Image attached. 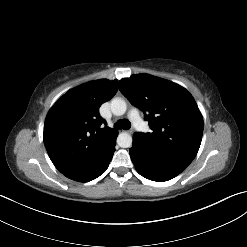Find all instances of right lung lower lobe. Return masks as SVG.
I'll return each instance as SVG.
<instances>
[{
	"label": "right lung lower lobe",
	"instance_id": "98d812e1",
	"mask_svg": "<svg viewBox=\"0 0 247 247\" xmlns=\"http://www.w3.org/2000/svg\"><path fill=\"white\" fill-rule=\"evenodd\" d=\"M115 139L109 148L93 164L83 170L66 174L65 176L79 182H88L99 177L108 168V165L113 157L115 152Z\"/></svg>",
	"mask_w": 247,
	"mask_h": 247
}]
</instances>
